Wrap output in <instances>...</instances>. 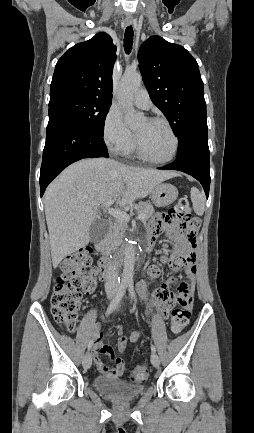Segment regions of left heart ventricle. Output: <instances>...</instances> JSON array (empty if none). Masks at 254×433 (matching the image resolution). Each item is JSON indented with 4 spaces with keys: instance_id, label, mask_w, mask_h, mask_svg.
Segmentation results:
<instances>
[{
    "instance_id": "b2bd125f",
    "label": "left heart ventricle",
    "mask_w": 254,
    "mask_h": 433,
    "mask_svg": "<svg viewBox=\"0 0 254 433\" xmlns=\"http://www.w3.org/2000/svg\"><path fill=\"white\" fill-rule=\"evenodd\" d=\"M135 134L145 151L153 159L167 158L174 146L173 139L168 130L159 123L144 119L135 128Z\"/></svg>"
}]
</instances>
